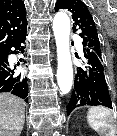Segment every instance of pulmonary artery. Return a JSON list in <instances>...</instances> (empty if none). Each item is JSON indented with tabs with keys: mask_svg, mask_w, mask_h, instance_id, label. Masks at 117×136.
Segmentation results:
<instances>
[{
	"mask_svg": "<svg viewBox=\"0 0 117 136\" xmlns=\"http://www.w3.org/2000/svg\"><path fill=\"white\" fill-rule=\"evenodd\" d=\"M77 46H78V48H82V44H81V42L79 41V40H77Z\"/></svg>",
	"mask_w": 117,
	"mask_h": 136,
	"instance_id": "1",
	"label": "pulmonary artery"
}]
</instances>
